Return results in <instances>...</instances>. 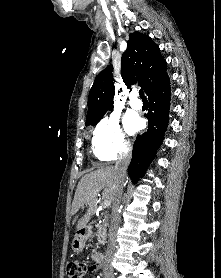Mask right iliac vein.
<instances>
[{
  "mask_svg": "<svg viewBox=\"0 0 221 278\" xmlns=\"http://www.w3.org/2000/svg\"><path fill=\"white\" fill-rule=\"evenodd\" d=\"M105 278H115L113 274H109L108 276H106Z\"/></svg>",
  "mask_w": 221,
  "mask_h": 278,
  "instance_id": "right-iliac-vein-1",
  "label": "right iliac vein"
}]
</instances>
